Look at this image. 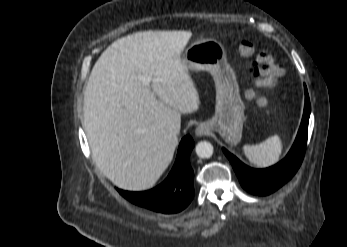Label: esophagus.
<instances>
[{
  "mask_svg": "<svg viewBox=\"0 0 347 247\" xmlns=\"http://www.w3.org/2000/svg\"><path fill=\"white\" fill-rule=\"evenodd\" d=\"M209 133H210V130L205 124H200L195 129V134L198 137L208 135Z\"/></svg>",
  "mask_w": 347,
  "mask_h": 247,
  "instance_id": "34e87169",
  "label": "esophagus"
}]
</instances>
